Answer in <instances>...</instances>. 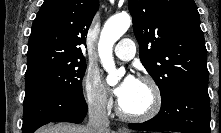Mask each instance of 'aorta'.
I'll return each mask as SVG.
<instances>
[{
  "mask_svg": "<svg viewBox=\"0 0 221 133\" xmlns=\"http://www.w3.org/2000/svg\"><path fill=\"white\" fill-rule=\"evenodd\" d=\"M130 24L131 18L128 14H118L108 19L101 31L98 52L101 64L108 72L106 81L109 85L116 84L119 76L125 73L123 68L116 69L112 49L116 41L128 30Z\"/></svg>",
  "mask_w": 221,
  "mask_h": 133,
  "instance_id": "762f6f07",
  "label": "aorta"
}]
</instances>
